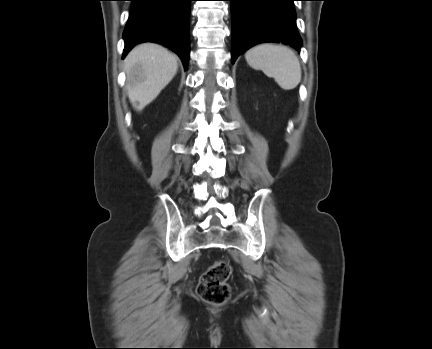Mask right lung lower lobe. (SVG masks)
Returning <instances> with one entry per match:
<instances>
[{
	"label": "right lung lower lobe",
	"mask_w": 432,
	"mask_h": 349,
	"mask_svg": "<svg viewBox=\"0 0 432 349\" xmlns=\"http://www.w3.org/2000/svg\"><path fill=\"white\" fill-rule=\"evenodd\" d=\"M132 8L124 30L123 58L136 44L156 42L189 60V15L192 0H130Z\"/></svg>",
	"instance_id": "obj_1"
}]
</instances>
